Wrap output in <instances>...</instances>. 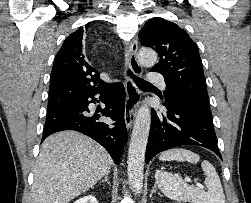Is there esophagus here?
I'll use <instances>...</instances> for the list:
<instances>
[{"label":"esophagus","instance_id":"esophagus-1","mask_svg":"<svg viewBox=\"0 0 251 203\" xmlns=\"http://www.w3.org/2000/svg\"><path fill=\"white\" fill-rule=\"evenodd\" d=\"M137 50H138V40L135 38L127 50L126 64L128 69L136 76L143 75V67L137 60ZM126 101H125V111L124 119L127 129H130L135 115L136 109L141 100V90L136 86L133 79L128 76L126 79Z\"/></svg>","mask_w":251,"mask_h":203}]
</instances>
